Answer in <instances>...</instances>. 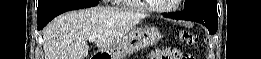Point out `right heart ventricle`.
<instances>
[{"instance_id":"e07e8e85","label":"right heart ventricle","mask_w":261,"mask_h":59,"mask_svg":"<svg viewBox=\"0 0 261 59\" xmlns=\"http://www.w3.org/2000/svg\"><path fill=\"white\" fill-rule=\"evenodd\" d=\"M116 2H119V3H122V4H124V5L131 6V7L140 9V8H139L136 4H134V2L131 1V0H117Z\"/></svg>"}]
</instances>
